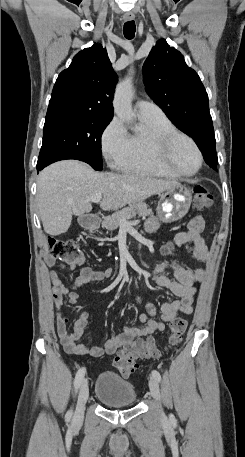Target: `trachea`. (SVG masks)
Segmentation results:
<instances>
[{"instance_id":"obj_1","label":"trachea","mask_w":245,"mask_h":457,"mask_svg":"<svg viewBox=\"0 0 245 457\" xmlns=\"http://www.w3.org/2000/svg\"><path fill=\"white\" fill-rule=\"evenodd\" d=\"M135 31H136V26H135V22L133 20L127 21L124 24L123 33H124L125 38H127L129 40L134 38Z\"/></svg>"}]
</instances>
